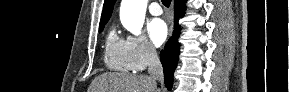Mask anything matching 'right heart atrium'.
<instances>
[{"mask_svg": "<svg viewBox=\"0 0 289 92\" xmlns=\"http://www.w3.org/2000/svg\"><path fill=\"white\" fill-rule=\"evenodd\" d=\"M128 63L133 71H142L157 58L152 44L142 35H129L125 40Z\"/></svg>", "mask_w": 289, "mask_h": 92, "instance_id": "right-heart-atrium-1", "label": "right heart atrium"}]
</instances>
